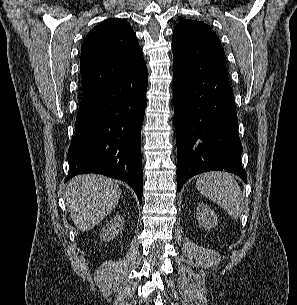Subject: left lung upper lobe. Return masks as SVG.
I'll use <instances>...</instances> for the list:
<instances>
[{
    "mask_svg": "<svg viewBox=\"0 0 297 305\" xmlns=\"http://www.w3.org/2000/svg\"><path fill=\"white\" fill-rule=\"evenodd\" d=\"M174 63L191 74L226 73L225 52L218 36L205 23L180 21L173 31Z\"/></svg>",
    "mask_w": 297,
    "mask_h": 305,
    "instance_id": "5c2ea615",
    "label": "left lung upper lobe"
}]
</instances>
